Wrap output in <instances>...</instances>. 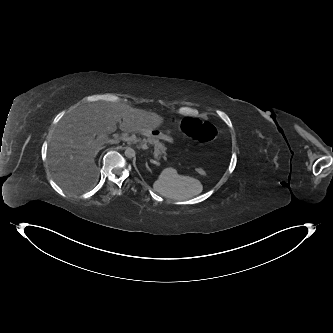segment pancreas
Returning a JSON list of instances; mask_svg holds the SVG:
<instances>
[{"label":"pancreas","instance_id":"pancreas-1","mask_svg":"<svg viewBox=\"0 0 333 333\" xmlns=\"http://www.w3.org/2000/svg\"><path fill=\"white\" fill-rule=\"evenodd\" d=\"M146 142H148L149 144H151L155 147V149L158 151L157 156L163 157L165 160H167V158H166L167 148L165 147V145L163 143H161L158 139L153 138L151 136H148V138L146 139Z\"/></svg>","mask_w":333,"mask_h":333}]
</instances>
